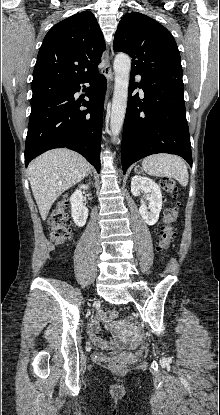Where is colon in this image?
<instances>
[{
    "label": "colon",
    "instance_id": "5ec220e1",
    "mask_svg": "<svg viewBox=\"0 0 220 415\" xmlns=\"http://www.w3.org/2000/svg\"><path fill=\"white\" fill-rule=\"evenodd\" d=\"M161 185L165 191L170 194H174L176 191V184L173 179L163 178ZM69 201L67 199H62L58 202L55 208L52 210L49 217V228H50V237L51 240L58 244L62 245L68 242L72 236V229L68 221V209ZM178 217V207L174 206L168 208L164 212L162 223L160 226V238L158 246L162 250H167L173 242L174 238V228L173 225ZM118 316L116 309H108L107 317L109 320H115ZM111 367L117 370H122L126 367L125 362L121 360H114L111 363Z\"/></svg>",
    "mask_w": 220,
    "mask_h": 415
}]
</instances>
